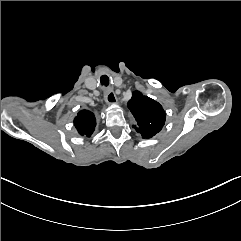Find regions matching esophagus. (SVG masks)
<instances>
[{
  "label": "esophagus",
  "instance_id": "34e87169",
  "mask_svg": "<svg viewBox=\"0 0 241 241\" xmlns=\"http://www.w3.org/2000/svg\"><path fill=\"white\" fill-rule=\"evenodd\" d=\"M104 99H105V102L110 105L111 104L114 105L117 103V97L114 91H112L111 89H107L105 91Z\"/></svg>",
  "mask_w": 241,
  "mask_h": 241
}]
</instances>
